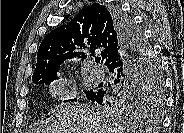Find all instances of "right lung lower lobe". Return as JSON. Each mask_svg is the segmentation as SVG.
Instances as JSON below:
<instances>
[{
	"instance_id": "1",
	"label": "right lung lower lobe",
	"mask_w": 184,
	"mask_h": 133,
	"mask_svg": "<svg viewBox=\"0 0 184 133\" xmlns=\"http://www.w3.org/2000/svg\"><path fill=\"white\" fill-rule=\"evenodd\" d=\"M112 13L122 45L118 54L106 66L113 74L114 84L118 88L110 92L99 89L86 96L100 105H110L114 98L125 96L134 84L142 81L146 65L145 48L135 38L128 18L117 9L112 10Z\"/></svg>"
}]
</instances>
